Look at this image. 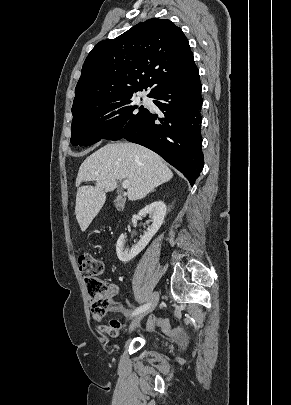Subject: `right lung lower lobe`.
I'll use <instances>...</instances> for the list:
<instances>
[{"mask_svg":"<svg viewBox=\"0 0 291 405\" xmlns=\"http://www.w3.org/2000/svg\"><path fill=\"white\" fill-rule=\"evenodd\" d=\"M202 85L194 77L159 88L151 98L164 117L148 112L122 138L145 146L178 169L193 185L203 169L201 128ZM159 120L160 123H155Z\"/></svg>","mask_w":291,"mask_h":405,"instance_id":"1","label":"right lung lower lobe"}]
</instances>
